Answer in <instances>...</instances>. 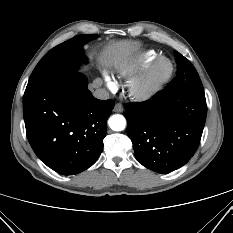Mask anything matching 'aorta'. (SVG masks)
<instances>
[{"instance_id":"obj_1","label":"aorta","mask_w":233,"mask_h":233,"mask_svg":"<svg viewBox=\"0 0 233 233\" xmlns=\"http://www.w3.org/2000/svg\"><path fill=\"white\" fill-rule=\"evenodd\" d=\"M108 124L113 131H122L126 126V119L120 114H115L109 118Z\"/></svg>"}]
</instances>
